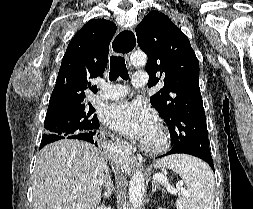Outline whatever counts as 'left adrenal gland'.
I'll list each match as a JSON object with an SVG mask.
<instances>
[{
    "mask_svg": "<svg viewBox=\"0 0 253 209\" xmlns=\"http://www.w3.org/2000/svg\"><path fill=\"white\" fill-rule=\"evenodd\" d=\"M158 186L156 184V182L154 181L151 187V194L150 196H153V194L155 193V191L157 190Z\"/></svg>",
    "mask_w": 253,
    "mask_h": 209,
    "instance_id": "left-adrenal-gland-1",
    "label": "left adrenal gland"
}]
</instances>
